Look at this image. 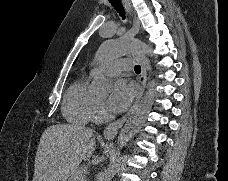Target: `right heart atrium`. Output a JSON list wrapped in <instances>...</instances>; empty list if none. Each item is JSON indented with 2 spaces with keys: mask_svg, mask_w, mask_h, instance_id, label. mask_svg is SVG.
Returning a JSON list of instances; mask_svg holds the SVG:
<instances>
[{
  "mask_svg": "<svg viewBox=\"0 0 228 181\" xmlns=\"http://www.w3.org/2000/svg\"><path fill=\"white\" fill-rule=\"evenodd\" d=\"M105 116V107L102 102H98L94 111L93 119L97 122L101 121Z\"/></svg>",
  "mask_w": 228,
  "mask_h": 181,
  "instance_id": "obj_1",
  "label": "right heart atrium"
}]
</instances>
